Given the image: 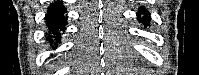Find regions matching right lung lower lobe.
<instances>
[{"instance_id":"right-lung-lower-lobe-1","label":"right lung lower lobe","mask_w":199,"mask_h":75,"mask_svg":"<svg viewBox=\"0 0 199 75\" xmlns=\"http://www.w3.org/2000/svg\"><path fill=\"white\" fill-rule=\"evenodd\" d=\"M65 12L66 9L61 2H55L48 7L45 20L51 33L47 38L49 41L52 42L51 38L55 36L56 42H60V31H65V26L67 24V18L64 16Z\"/></svg>"}]
</instances>
